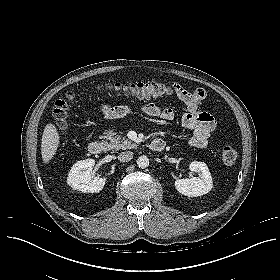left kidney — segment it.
Masks as SVG:
<instances>
[{"label": "left kidney", "instance_id": "1", "mask_svg": "<svg viewBox=\"0 0 280 280\" xmlns=\"http://www.w3.org/2000/svg\"><path fill=\"white\" fill-rule=\"evenodd\" d=\"M192 172L198 177L179 179L175 181L177 191L188 197H197L207 194L213 188L211 173L204 162L194 161L189 165Z\"/></svg>", "mask_w": 280, "mask_h": 280}]
</instances>
